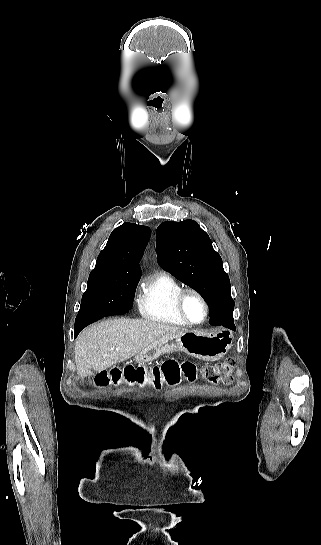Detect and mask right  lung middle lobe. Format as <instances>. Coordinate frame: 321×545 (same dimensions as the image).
Wrapping results in <instances>:
<instances>
[{"label":"right lung middle lobe","instance_id":"1","mask_svg":"<svg viewBox=\"0 0 321 545\" xmlns=\"http://www.w3.org/2000/svg\"><path fill=\"white\" fill-rule=\"evenodd\" d=\"M138 281L114 277L104 272H91L75 322L102 318L106 307L113 299L135 293Z\"/></svg>","mask_w":321,"mask_h":545}]
</instances>
